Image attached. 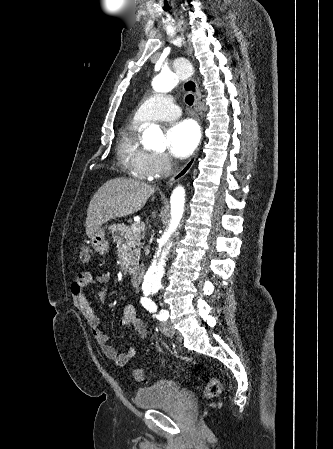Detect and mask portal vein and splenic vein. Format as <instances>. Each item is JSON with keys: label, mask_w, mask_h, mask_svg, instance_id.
Wrapping results in <instances>:
<instances>
[{"label": "portal vein and splenic vein", "mask_w": 333, "mask_h": 449, "mask_svg": "<svg viewBox=\"0 0 333 449\" xmlns=\"http://www.w3.org/2000/svg\"><path fill=\"white\" fill-rule=\"evenodd\" d=\"M144 228H145V225L143 223L142 224H133L131 226V229L133 232L144 230Z\"/></svg>", "instance_id": "18ae733b"}]
</instances>
